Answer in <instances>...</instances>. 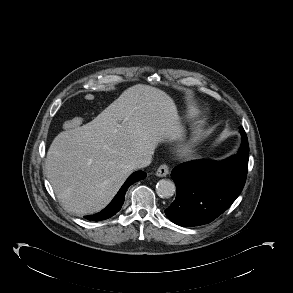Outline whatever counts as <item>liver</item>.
I'll return each instance as SVG.
<instances>
[{
    "label": "liver",
    "mask_w": 293,
    "mask_h": 293,
    "mask_svg": "<svg viewBox=\"0 0 293 293\" xmlns=\"http://www.w3.org/2000/svg\"><path fill=\"white\" fill-rule=\"evenodd\" d=\"M182 131L173 99L137 84L89 123L59 133L48 150L45 173L65 210L99 212L133 172L136 159L153 153L164 139L180 138Z\"/></svg>",
    "instance_id": "6515ba94"
}]
</instances>
